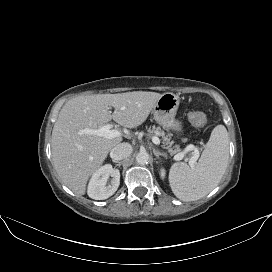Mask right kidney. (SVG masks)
I'll use <instances>...</instances> for the list:
<instances>
[{
	"label": "right kidney",
	"mask_w": 272,
	"mask_h": 272,
	"mask_svg": "<svg viewBox=\"0 0 272 272\" xmlns=\"http://www.w3.org/2000/svg\"><path fill=\"white\" fill-rule=\"evenodd\" d=\"M110 183L107 185L108 179ZM120 185V171L111 165H104L96 170L88 184V195L95 200H104L112 196Z\"/></svg>",
	"instance_id": "right-kidney-1"
}]
</instances>
